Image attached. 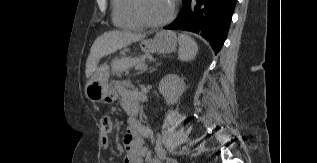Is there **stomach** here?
Segmentation results:
<instances>
[{
  "label": "stomach",
  "mask_w": 317,
  "mask_h": 163,
  "mask_svg": "<svg viewBox=\"0 0 317 163\" xmlns=\"http://www.w3.org/2000/svg\"><path fill=\"white\" fill-rule=\"evenodd\" d=\"M177 37L172 31H160L153 39L141 41V50L146 53H171L176 49ZM109 69L106 65L101 66L87 82L85 87L86 97L93 103L103 102L109 92Z\"/></svg>",
  "instance_id": "1"
}]
</instances>
